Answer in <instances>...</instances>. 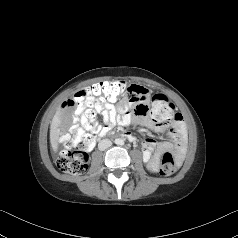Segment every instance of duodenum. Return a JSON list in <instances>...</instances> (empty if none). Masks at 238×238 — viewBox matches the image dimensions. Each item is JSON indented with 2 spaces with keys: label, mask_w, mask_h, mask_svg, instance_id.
<instances>
[{
  "label": "duodenum",
  "mask_w": 238,
  "mask_h": 238,
  "mask_svg": "<svg viewBox=\"0 0 238 238\" xmlns=\"http://www.w3.org/2000/svg\"><path fill=\"white\" fill-rule=\"evenodd\" d=\"M128 140H130V141H134V137L133 136H131V135H124Z\"/></svg>",
  "instance_id": "duodenum-1"
}]
</instances>
